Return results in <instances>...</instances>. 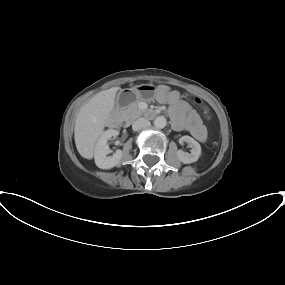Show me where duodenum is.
Masks as SVG:
<instances>
[{
	"instance_id": "obj_1",
	"label": "duodenum",
	"mask_w": 285,
	"mask_h": 285,
	"mask_svg": "<svg viewBox=\"0 0 285 285\" xmlns=\"http://www.w3.org/2000/svg\"><path fill=\"white\" fill-rule=\"evenodd\" d=\"M158 114H159V111L155 110V109H147L143 112V115L146 118H155L156 116H158ZM116 120H117L118 124H120L122 126L126 125V122L122 118H117Z\"/></svg>"
}]
</instances>
